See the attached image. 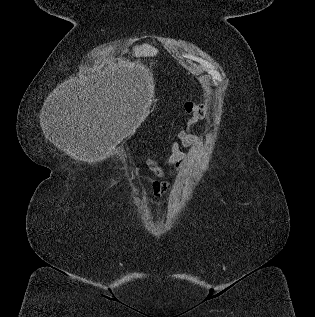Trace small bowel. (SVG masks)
<instances>
[{
	"instance_id": "1",
	"label": "small bowel",
	"mask_w": 315,
	"mask_h": 317,
	"mask_svg": "<svg viewBox=\"0 0 315 317\" xmlns=\"http://www.w3.org/2000/svg\"><path fill=\"white\" fill-rule=\"evenodd\" d=\"M186 112L191 114L188 124L182 128L178 134V141L169 144L171 155L160 165L155 160L148 158L146 165L156 179L147 178L151 184L152 193L155 197H163L170 186L169 176H175L188 162L187 155L181 150L180 146L189 147L198 144L201 139L191 132V127L203 119L206 106L202 104L186 103ZM209 131L207 132V134Z\"/></svg>"
}]
</instances>
